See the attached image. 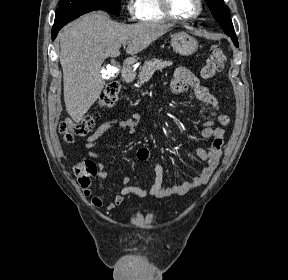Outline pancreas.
I'll use <instances>...</instances> for the list:
<instances>
[{
	"instance_id": "obj_1",
	"label": "pancreas",
	"mask_w": 288,
	"mask_h": 280,
	"mask_svg": "<svg viewBox=\"0 0 288 280\" xmlns=\"http://www.w3.org/2000/svg\"><path fill=\"white\" fill-rule=\"evenodd\" d=\"M171 64L172 62L170 61H163L162 59L155 58L146 61L143 67L140 68L137 83L143 85L150 80L155 71H162L165 67L170 66Z\"/></svg>"
}]
</instances>
